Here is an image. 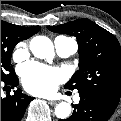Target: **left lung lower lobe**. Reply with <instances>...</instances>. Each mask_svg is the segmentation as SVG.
Wrapping results in <instances>:
<instances>
[{"instance_id":"1","label":"left lung lower lobe","mask_w":121,"mask_h":121,"mask_svg":"<svg viewBox=\"0 0 121 121\" xmlns=\"http://www.w3.org/2000/svg\"><path fill=\"white\" fill-rule=\"evenodd\" d=\"M80 102L74 105L73 114L59 121H107L117 105L92 92H79Z\"/></svg>"}]
</instances>
